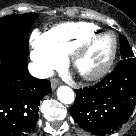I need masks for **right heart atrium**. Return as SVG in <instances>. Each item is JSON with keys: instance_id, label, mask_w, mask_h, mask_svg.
Returning <instances> with one entry per match:
<instances>
[{"instance_id": "1", "label": "right heart atrium", "mask_w": 136, "mask_h": 136, "mask_svg": "<svg viewBox=\"0 0 136 136\" xmlns=\"http://www.w3.org/2000/svg\"><path fill=\"white\" fill-rule=\"evenodd\" d=\"M30 42L32 46L31 59L39 75H47L53 68L63 63L64 56L47 44L43 34L34 31Z\"/></svg>"}]
</instances>
